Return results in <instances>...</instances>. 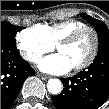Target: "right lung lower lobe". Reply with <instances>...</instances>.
<instances>
[{
    "label": "right lung lower lobe",
    "instance_id": "obj_1",
    "mask_svg": "<svg viewBox=\"0 0 109 109\" xmlns=\"http://www.w3.org/2000/svg\"><path fill=\"white\" fill-rule=\"evenodd\" d=\"M34 74L33 68L20 57L17 49L1 45V109L11 106L25 79Z\"/></svg>",
    "mask_w": 109,
    "mask_h": 109
}]
</instances>
